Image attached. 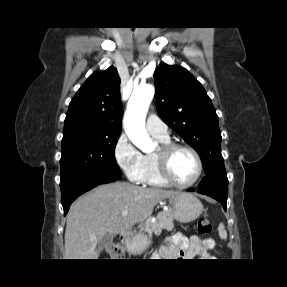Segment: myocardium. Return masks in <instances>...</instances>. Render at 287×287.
<instances>
[{"instance_id": "f54148a6", "label": "myocardium", "mask_w": 287, "mask_h": 287, "mask_svg": "<svg viewBox=\"0 0 287 287\" xmlns=\"http://www.w3.org/2000/svg\"><path fill=\"white\" fill-rule=\"evenodd\" d=\"M178 150H186L193 154L197 161L198 172L195 178L188 183L178 182L172 175L170 169V159L172 155ZM156 162L161 176L170 184L179 188H188L195 185L201 178L204 170L203 161L198 151L185 144L169 143L165 144L155 153Z\"/></svg>"}]
</instances>
